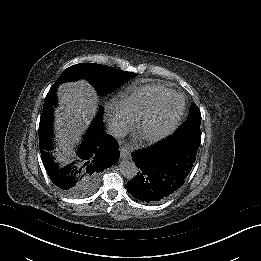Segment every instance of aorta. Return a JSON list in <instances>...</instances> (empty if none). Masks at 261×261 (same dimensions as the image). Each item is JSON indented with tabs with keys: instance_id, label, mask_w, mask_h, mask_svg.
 <instances>
[{
	"instance_id": "1",
	"label": "aorta",
	"mask_w": 261,
	"mask_h": 261,
	"mask_svg": "<svg viewBox=\"0 0 261 261\" xmlns=\"http://www.w3.org/2000/svg\"><path fill=\"white\" fill-rule=\"evenodd\" d=\"M121 174L127 179H134L138 172L139 168L132 160H122L119 164Z\"/></svg>"
}]
</instances>
